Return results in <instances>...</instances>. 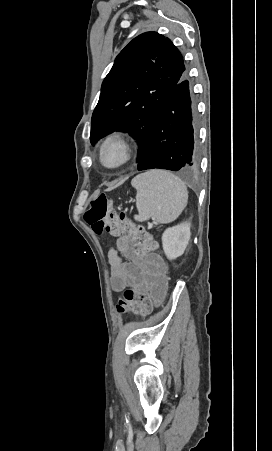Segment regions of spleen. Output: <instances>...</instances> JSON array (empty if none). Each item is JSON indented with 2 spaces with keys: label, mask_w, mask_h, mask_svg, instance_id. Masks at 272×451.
<instances>
[{
  "label": "spleen",
  "mask_w": 272,
  "mask_h": 451,
  "mask_svg": "<svg viewBox=\"0 0 272 451\" xmlns=\"http://www.w3.org/2000/svg\"><path fill=\"white\" fill-rule=\"evenodd\" d=\"M131 186L137 190L136 222L155 218L159 224H170L187 206V188L184 182L171 172L149 170L133 178Z\"/></svg>",
  "instance_id": "spleen-1"
}]
</instances>
